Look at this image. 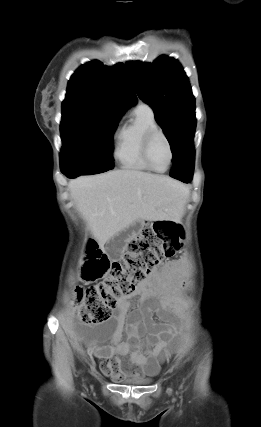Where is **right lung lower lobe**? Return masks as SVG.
Returning a JSON list of instances; mask_svg holds the SVG:
<instances>
[{"label": "right lung lower lobe", "mask_w": 261, "mask_h": 427, "mask_svg": "<svg viewBox=\"0 0 261 427\" xmlns=\"http://www.w3.org/2000/svg\"><path fill=\"white\" fill-rule=\"evenodd\" d=\"M67 177H69V178H74V177H77V176H79V174L78 173H69V174H65Z\"/></svg>", "instance_id": "right-lung-lower-lobe-1"}]
</instances>
